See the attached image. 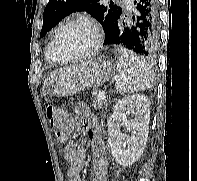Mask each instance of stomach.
<instances>
[{
	"label": "stomach",
	"instance_id": "obj_1",
	"mask_svg": "<svg viewBox=\"0 0 197 181\" xmlns=\"http://www.w3.org/2000/svg\"><path fill=\"white\" fill-rule=\"evenodd\" d=\"M116 65L106 58L89 61L78 71L58 80L53 89V95L67 97L86 88L96 87L108 81L115 73Z\"/></svg>",
	"mask_w": 197,
	"mask_h": 181
}]
</instances>
